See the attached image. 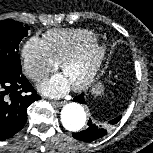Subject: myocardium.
<instances>
[{
  "label": "myocardium",
  "instance_id": "1",
  "mask_svg": "<svg viewBox=\"0 0 153 153\" xmlns=\"http://www.w3.org/2000/svg\"><path fill=\"white\" fill-rule=\"evenodd\" d=\"M106 53V46L95 40L62 61L61 70L63 73L71 66L86 65V72L82 80L72 85L75 91H83L93 83L102 66Z\"/></svg>",
  "mask_w": 153,
  "mask_h": 153
}]
</instances>
